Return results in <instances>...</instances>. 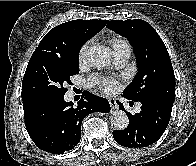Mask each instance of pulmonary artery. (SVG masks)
Segmentation results:
<instances>
[{"mask_svg":"<svg viewBox=\"0 0 196 166\" xmlns=\"http://www.w3.org/2000/svg\"><path fill=\"white\" fill-rule=\"evenodd\" d=\"M130 46L127 43L119 44L113 47L114 63L117 67L124 66L130 57ZM140 110V105L136 107V111Z\"/></svg>","mask_w":196,"mask_h":166,"instance_id":"e3ab8cb5","label":"pulmonary artery"}]
</instances>
